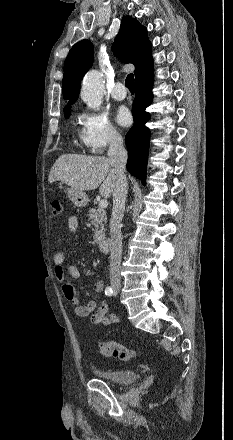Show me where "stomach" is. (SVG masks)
Masks as SVG:
<instances>
[{
	"label": "stomach",
	"mask_w": 233,
	"mask_h": 440,
	"mask_svg": "<svg viewBox=\"0 0 233 440\" xmlns=\"http://www.w3.org/2000/svg\"><path fill=\"white\" fill-rule=\"evenodd\" d=\"M67 197L76 207H84L88 203V196L86 193L74 188L67 189Z\"/></svg>",
	"instance_id": "0dacf381"
}]
</instances>
